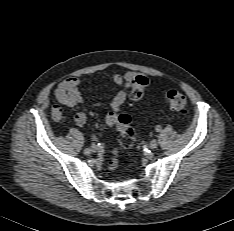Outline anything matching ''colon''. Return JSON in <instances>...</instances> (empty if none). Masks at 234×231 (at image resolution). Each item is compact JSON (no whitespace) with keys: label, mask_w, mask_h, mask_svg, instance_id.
<instances>
[{"label":"colon","mask_w":234,"mask_h":231,"mask_svg":"<svg viewBox=\"0 0 234 231\" xmlns=\"http://www.w3.org/2000/svg\"><path fill=\"white\" fill-rule=\"evenodd\" d=\"M148 79L144 75H137L133 81L130 91V98L133 102L139 101L145 92ZM170 107L176 111H183L187 100L183 93L178 90H168L165 93ZM117 130L119 132V143L124 148H131L134 144V129L131 125V117L128 114H121L117 121Z\"/></svg>","instance_id":"colon-1"}]
</instances>
